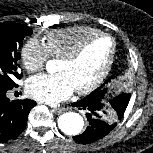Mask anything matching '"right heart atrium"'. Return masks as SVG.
<instances>
[{"instance_id": "1", "label": "right heart atrium", "mask_w": 153, "mask_h": 153, "mask_svg": "<svg viewBox=\"0 0 153 153\" xmlns=\"http://www.w3.org/2000/svg\"><path fill=\"white\" fill-rule=\"evenodd\" d=\"M20 56L24 68L29 72H35L45 66L50 53L45 43L36 38H31L23 44Z\"/></svg>"}]
</instances>
